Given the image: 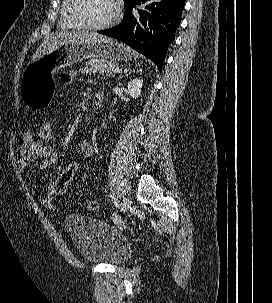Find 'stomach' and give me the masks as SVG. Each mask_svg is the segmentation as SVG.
Returning a JSON list of instances; mask_svg holds the SVG:
<instances>
[{
	"label": "stomach",
	"instance_id": "obj_1",
	"mask_svg": "<svg viewBox=\"0 0 272 303\" xmlns=\"http://www.w3.org/2000/svg\"><path fill=\"white\" fill-rule=\"evenodd\" d=\"M88 58L109 59L114 62L129 61L135 59L136 54L127 46L110 38L91 43L61 45L24 69L20 83L23 103L31 109L46 106L52 98L55 72Z\"/></svg>",
	"mask_w": 272,
	"mask_h": 303
}]
</instances>
